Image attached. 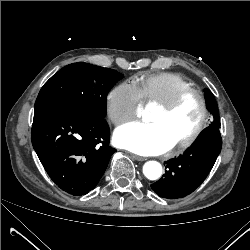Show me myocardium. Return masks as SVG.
Segmentation results:
<instances>
[{"label":"myocardium","instance_id":"obj_1","mask_svg":"<svg viewBox=\"0 0 250 250\" xmlns=\"http://www.w3.org/2000/svg\"><path fill=\"white\" fill-rule=\"evenodd\" d=\"M194 95L198 98L201 106V118L197 127L193 130L191 134L182 139L181 141L175 143L170 149H185L191 146L202 134L206 128L209 121V108L205 95L202 91L197 88L190 87L177 92L173 97L164 103L158 104V107L165 114H170L173 112L179 104L187 97Z\"/></svg>","mask_w":250,"mask_h":250}]
</instances>
